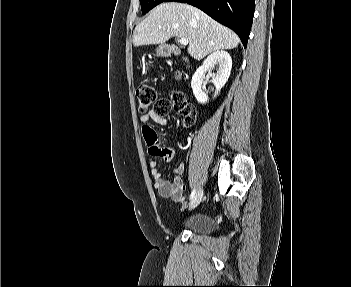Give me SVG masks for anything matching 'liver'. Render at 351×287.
Instances as JSON below:
<instances>
[{"mask_svg":"<svg viewBox=\"0 0 351 287\" xmlns=\"http://www.w3.org/2000/svg\"><path fill=\"white\" fill-rule=\"evenodd\" d=\"M171 37L188 39V53L195 59H201L220 49L236 48L240 42L236 33L198 8L168 2L155 7L136 26L133 45L163 44Z\"/></svg>","mask_w":351,"mask_h":287,"instance_id":"obj_1","label":"liver"}]
</instances>
